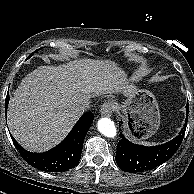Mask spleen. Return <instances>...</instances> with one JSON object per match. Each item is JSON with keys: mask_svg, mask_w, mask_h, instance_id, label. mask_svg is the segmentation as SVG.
<instances>
[{"mask_svg": "<svg viewBox=\"0 0 194 194\" xmlns=\"http://www.w3.org/2000/svg\"><path fill=\"white\" fill-rule=\"evenodd\" d=\"M141 143H142V144H144V145H151V144H155V142L150 143V142H144V141H142Z\"/></svg>", "mask_w": 194, "mask_h": 194, "instance_id": "3e777b00", "label": "spleen"}]
</instances>
